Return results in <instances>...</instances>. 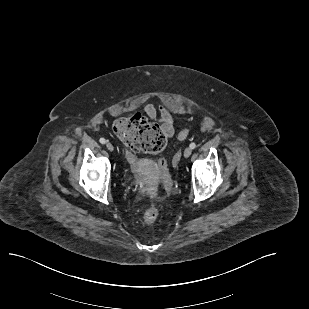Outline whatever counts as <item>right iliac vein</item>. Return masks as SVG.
<instances>
[{"instance_id":"obj_1","label":"right iliac vein","mask_w":309,"mask_h":309,"mask_svg":"<svg viewBox=\"0 0 309 309\" xmlns=\"http://www.w3.org/2000/svg\"><path fill=\"white\" fill-rule=\"evenodd\" d=\"M106 147H107V149H108L109 151H113V150H114V147H113V145H112L110 142H107V143H106Z\"/></svg>"}]
</instances>
